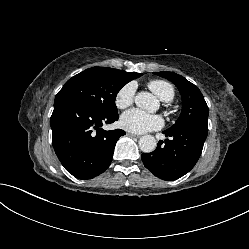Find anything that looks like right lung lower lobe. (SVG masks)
<instances>
[{
    "instance_id": "right-lung-lower-lobe-1",
    "label": "right lung lower lobe",
    "mask_w": 249,
    "mask_h": 249,
    "mask_svg": "<svg viewBox=\"0 0 249 249\" xmlns=\"http://www.w3.org/2000/svg\"><path fill=\"white\" fill-rule=\"evenodd\" d=\"M118 118V113L97 114L69 98H55L50 119L52 144L70 174L91 179L110 166L116 142L125 131L101 127Z\"/></svg>"
}]
</instances>
